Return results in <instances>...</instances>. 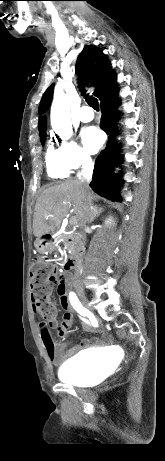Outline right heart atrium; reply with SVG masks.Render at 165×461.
<instances>
[{"label":"right heart atrium","instance_id":"obj_1","mask_svg":"<svg viewBox=\"0 0 165 461\" xmlns=\"http://www.w3.org/2000/svg\"><path fill=\"white\" fill-rule=\"evenodd\" d=\"M58 151L63 164L69 170L86 168L92 163L90 154L75 141L64 140L60 142Z\"/></svg>","mask_w":165,"mask_h":461}]
</instances>
